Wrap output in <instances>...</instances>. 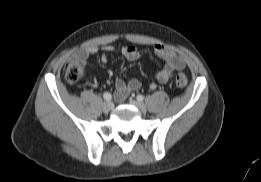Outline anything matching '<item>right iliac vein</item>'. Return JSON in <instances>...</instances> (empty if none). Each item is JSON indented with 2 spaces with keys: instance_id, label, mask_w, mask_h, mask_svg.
Segmentation results:
<instances>
[{
  "instance_id": "1",
  "label": "right iliac vein",
  "mask_w": 261,
  "mask_h": 182,
  "mask_svg": "<svg viewBox=\"0 0 261 182\" xmlns=\"http://www.w3.org/2000/svg\"><path fill=\"white\" fill-rule=\"evenodd\" d=\"M113 109V104L111 102H105L103 104V111L104 112H109Z\"/></svg>"
}]
</instances>
